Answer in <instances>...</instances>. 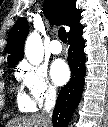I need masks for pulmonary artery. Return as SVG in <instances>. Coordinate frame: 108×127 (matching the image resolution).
Masks as SVG:
<instances>
[{
  "mask_svg": "<svg viewBox=\"0 0 108 127\" xmlns=\"http://www.w3.org/2000/svg\"><path fill=\"white\" fill-rule=\"evenodd\" d=\"M62 45L58 40L51 41L49 45V50L53 54H60L62 52Z\"/></svg>",
  "mask_w": 108,
  "mask_h": 127,
  "instance_id": "e3ab8cb5",
  "label": "pulmonary artery"
}]
</instances>
